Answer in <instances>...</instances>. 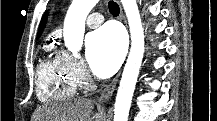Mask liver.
I'll use <instances>...</instances> for the list:
<instances>
[{"instance_id": "obj_1", "label": "liver", "mask_w": 217, "mask_h": 121, "mask_svg": "<svg viewBox=\"0 0 217 121\" xmlns=\"http://www.w3.org/2000/svg\"><path fill=\"white\" fill-rule=\"evenodd\" d=\"M94 102L77 98L52 107L43 106L38 112V121H100V114H93Z\"/></svg>"}]
</instances>
